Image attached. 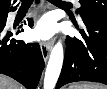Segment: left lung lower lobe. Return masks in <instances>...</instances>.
I'll list each match as a JSON object with an SVG mask.
<instances>
[{"label": "left lung lower lobe", "instance_id": "0a47b994", "mask_svg": "<svg viewBox=\"0 0 107 89\" xmlns=\"http://www.w3.org/2000/svg\"><path fill=\"white\" fill-rule=\"evenodd\" d=\"M84 41L67 38L63 68L56 89L76 81L100 82L107 85V17L83 16Z\"/></svg>", "mask_w": 107, "mask_h": 89}]
</instances>
